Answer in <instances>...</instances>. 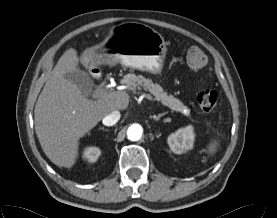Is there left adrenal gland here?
Listing matches in <instances>:
<instances>
[{
    "mask_svg": "<svg viewBox=\"0 0 277 218\" xmlns=\"http://www.w3.org/2000/svg\"><path fill=\"white\" fill-rule=\"evenodd\" d=\"M165 114H166V112L161 113V114H158L157 116L154 115L153 118H154L155 121H159L160 118H161L162 116H164ZM167 121H168L167 119L164 120V122H167Z\"/></svg>",
    "mask_w": 277,
    "mask_h": 218,
    "instance_id": "obj_1",
    "label": "left adrenal gland"
}]
</instances>
